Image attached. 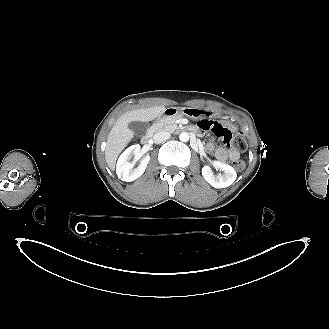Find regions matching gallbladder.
<instances>
[{"label":"gallbladder","mask_w":329,"mask_h":329,"mask_svg":"<svg viewBox=\"0 0 329 329\" xmlns=\"http://www.w3.org/2000/svg\"><path fill=\"white\" fill-rule=\"evenodd\" d=\"M128 128L137 136H144L149 128L147 122L132 121L128 124Z\"/></svg>","instance_id":"1"}]
</instances>
